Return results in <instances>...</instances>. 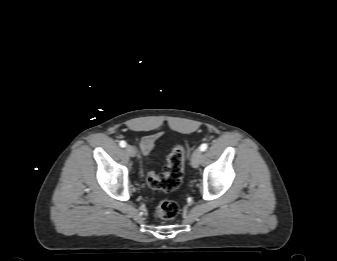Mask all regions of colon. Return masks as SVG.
Masks as SVG:
<instances>
[{
  "instance_id": "5ec220e1",
  "label": "colon",
  "mask_w": 337,
  "mask_h": 261,
  "mask_svg": "<svg viewBox=\"0 0 337 261\" xmlns=\"http://www.w3.org/2000/svg\"><path fill=\"white\" fill-rule=\"evenodd\" d=\"M185 148L182 145L175 146L167 158V164L162 175L149 173L147 183L154 189L173 191L182 182L184 171ZM179 213V205L172 200H164L157 204L155 214L162 220H172Z\"/></svg>"
}]
</instances>
